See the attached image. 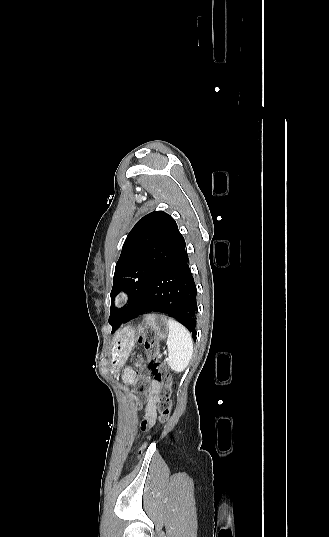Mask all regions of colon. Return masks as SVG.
Returning <instances> with one entry per match:
<instances>
[{"label":"colon","instance_id":"1","mask_svg":"<svg viewBox=\"0 0 329 537\" xmlns=\"http://www.w3.org/2000/svg\"><path fill=\"white\" fill-rule=\"evenodd\" d=\"M145 348L148 358V371H140L135 380V393L136 403L141 406L146 400V393L149 388V375L153 376L159 381L160 386L157 393V407L159 412V422H165L170 415L171 411V376L166 369L165 365L159 360V348L154 340H146ZM149 422L145 421L142 424L143 429L148 428ZM145 445L142 444L139 448V452L144 450Z\"/></svg>","mask_w":329,"mask_h":537}]
</instances>
